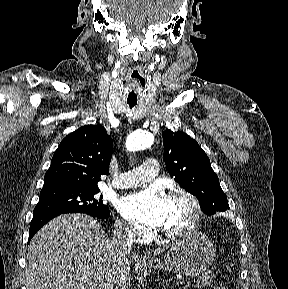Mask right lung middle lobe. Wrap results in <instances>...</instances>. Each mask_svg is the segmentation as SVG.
Returning <instances> with one entry per match:
<instances>
[{"label": "right lung middle lobe", "instance_id": "1", "mask_svg": "<svg viewBox=\"0 0 288 289\" xmlns=\"http://www.w3.org/2000/svg\"><path fill=\"white\" fill-rule=\"evenodd\" d=\"M98 187H51L43 188L33 214L85 213L97 218L107 217L109 209L98 198Z\"/></svg>", "mask_w": 288, "mask_h": 289}]
</instances>
